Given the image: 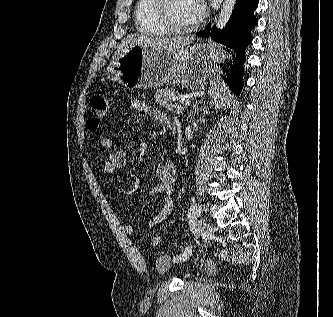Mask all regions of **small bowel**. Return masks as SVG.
<instances>
[{
    "instance_id": "1",
    "label": "small bowel",
    "mask_w": 333,
    "mask_h": 317,
    "mask_svg": "<svg viewBox=\"0 0 333 317\" xmlns=\"http://www.w3.org/2000/svg\"><path fill=\"white\" fill-rule=\"evenodd\" d=\"M130 107L139 113H143L156 121L167 125L171 119L161 110L150 107L143 100L133 99L130 102ZM99 144L102 148L110 150L107 161L103 164L102 173L108 178L113 175L117 169L123 168L127 164V154L125 150L118 149L114 141L107 137L101 136ZM159 183L151 189L152 195H161L163 197V206L160 211L145 224V229H151L156 225L165 221L173 211V192L174 184L177 179V170L175 164L171 160H166L161 163L156 170ZM123 230L129 235L138 234L140 230L131 224L123 225Z\"/></svg>"
}]
</instances>
